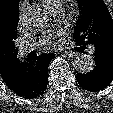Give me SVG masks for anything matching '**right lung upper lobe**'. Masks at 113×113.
I'll list each match as a JSON object with an SVG mask.
<instances>
[{
    "mask_svg": "<svg viewBox=\"0 0 113 113\" xmlns=\"http://www.w3.org/2000/svg\"><path fill=\"white\" fill-rule=\"evenodd\" d=\"M20 0H0V75L12 77L20 60L15 47Z\"/></svg>",
    "mask_w": 113,
    "mask_h": 113,
    "instance_id": "cb5924a9",
    "label": "right lung upper lobe"
}]
</instances>
